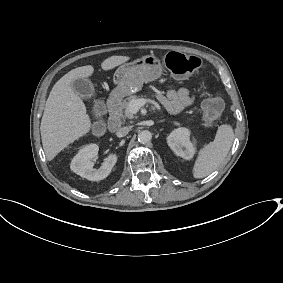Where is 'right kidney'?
<instances>
[{
    "label": "right kidney",
    "instance_id": "right-kidney-1",
    "mask_svg": "<svg viewBox=\"0 0 283 283\" xmlns=\"http://www.w3.org/2000/svg\"><path fill=\"white\" fill-rule=\"evenodd\" d=\"M98 151L99 147L96 144H89L80 149L71 161V170L90 181H100L106 178L116 164L117 156L110 154L99 169H94L92 160L97 157Z\"/></svg>",
    "mask_w": 283,
    "mask_h": 283
}]
</instances>
